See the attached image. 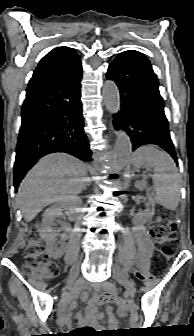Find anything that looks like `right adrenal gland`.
<instances>
[{"mask_svg":"<svg viewBox=\"0 0 194 336\" xmlns=\"http://www.w3.org/2000/svg\"><path fill=\"white\" fill-rule=\"evenodd\" d=\"M90 184H91V180H90V178H87V182H86L85 189H86L87 187H89Z\"/></svg>","mask_w":194,"mask_h":336,"instance_id":"right-adrenal-gland-1","label":"right adrenal gland"}]
</instances>
